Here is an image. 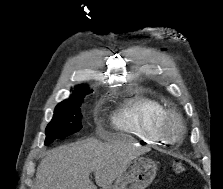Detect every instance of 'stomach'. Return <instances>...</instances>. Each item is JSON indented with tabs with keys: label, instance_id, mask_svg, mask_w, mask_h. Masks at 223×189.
<instances>
[{
	"label": "stomach",
	"instance_id": "stomach-1",
	"mask_svg": "<svg viewBox=\"0 0 223 189\" xmlns=\"http://www.w3.org/2000/svg\"><path fill=\"white\" fill-rule=\"evenodd\" d=\"M157 165L145 157L131 160L107 189H145L155 178Z\"/></svg>",
	"mask_w": 223,
	"mask_h": 189
}]
</instances>
